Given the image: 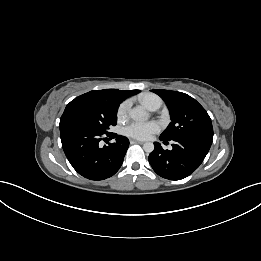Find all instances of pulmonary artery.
Returning a JSON list of instances; mask_svg holds the SVG:
<instances>
[{
    "label": "pulmonary artery",
    "instance_id": "1",
    "mask_svg": "<svg viewBox=\"0 0 261 261\" xmlns=\"http://www.w3.org/2000/svg\"><path fill=\"white\" fill-rule=\"evenodd\" d=\"M161 104H162V101H161V99L158 97V98H156V99H154V100L152 101V103H151V105L149 106L148 109H149L150 111H156V110H158V109L160 108Z\"/></svg>",
    "mask_w": 261,
    "mask_h": 261
}]
</instances>
